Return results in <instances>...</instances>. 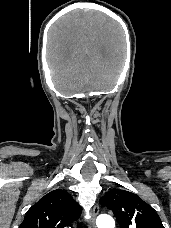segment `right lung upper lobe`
Returning <instances> with one entry per match:
<instances>
[{"label":"right lung upper lobe","instance_id":"cb5924a9","mask_svg":"<svg viewBox=\"0 0 171 228\" xmlns=\"http://www.w3.org/2000/svg\"><path fill=\"white\" fill-rule=\"evenodd\" d=\"M81 212L68 192L56 189L30 208L19 228H66Z\"/></svg>","mask_w":171,"mask_h":228}]
</instances>
